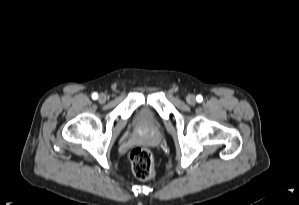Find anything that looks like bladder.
<instances>
[{
    "label": "bladder",
    "instance_id": "bladder-1",
    "mask_svg": "<svg viewBox=\"0 0 299 205\" xmlns=\"http://www.w3.org/2000/svg\"><path fill=\"white\" fill-rule=\"evenodd\" d=\"M153 121L144 111L138 112L132 121V125L136 128H146L153 126Z\"/></svg>",
    "mask_w": 299,
    "mask_h": 205
}]
</instances>
